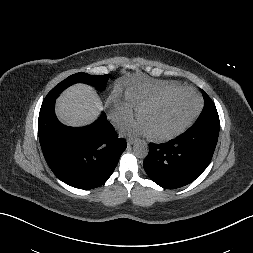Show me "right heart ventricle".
I'll list each match as a JSON object with an SVG mask.
<instances>
[{"mask_svg":"<svg viewBox=\"0 0 253 253\" xmlns=\"http://www.w3.org/2000/svg\"><path fill=\"white\" fill-rule=\"evenodd\" d=\"M175 83L140 82L129 86L125 91L127 102L135 109L178 88Z\"/></svg>","mask_w":253,"mask_h":253,"instance_id":"obj_1","label":"right heart ventricle"}]
</instances>
